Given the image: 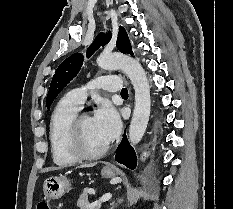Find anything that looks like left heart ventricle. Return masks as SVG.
<instances>
[{
    "label": "left heart ventricle",
    "mask_w": 233,
    "mask_h": 209,
    "mask_svg": "<svg viewBox=\"0 0 233 209\" xmlns=\"http://www.w3.org/2000/svg\"><path fill=\"white\" fill-rule=\"evenodd\" d=\"M81 141L88 151H98L107 144L99 135L91 116L82 121Z\"/></svg>",
    "instance_id": "1"
}]
</instances>
